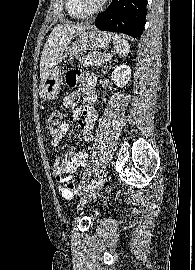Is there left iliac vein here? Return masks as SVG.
Segmentation results:
<instances>
[{
  "instance_id": "4c4485c4",
  "label": "left iliac vein",
  "mask_w": 195,
  "mask_h": 270,
  "mask_svg": "<svg viewBox=\"0 0 195 270\" xmlns=\"http://www.w3.org/2000/svg\"><path fill=\"white\" fill-rule=\"evenodd\" d=\"M107 174L104 173L102 176L99 177L97 182L91 187V189L81 198L78 209H83L85 205L90 202L100 191V189L103 187V184L106 180Z\"/></svg>"
}]
</instances>
